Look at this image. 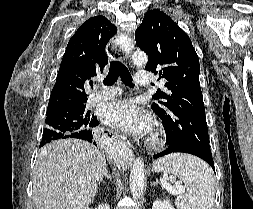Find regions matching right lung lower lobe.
Listing matches in <instances>:
<instances>
[{
  "label": "right lung lower lobe",
  "instance_id": "obj_1",
  "mask_svg": "<svg viewBox=\"0 0 253 209\" xmlns=\"http://www.w3.org/2000/svg\"><path fill=\"white\" fill-rule=\"evenodd\" d=\"M93 126L82 130V131H78V132H73L71 134H67V135H63L62 133H58L56 134V137H61V138H77V139H82V140H86L89 142H93L96 145V142L94 140V138L96 137V132L94 131V128L96 126H98L99 122L97 120V118L95 119L94 123H92ZM42 145H40L41 147Z\"/></svg>",
  "mask_w": 253,
  "mask_h": 209
}]
</instances>
